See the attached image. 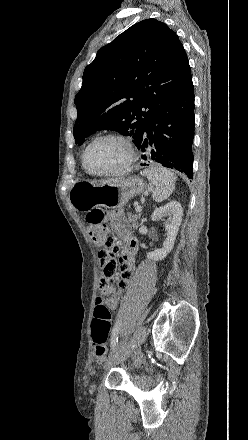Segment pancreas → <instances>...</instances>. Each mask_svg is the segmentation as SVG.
I'll return each instance as SVG.
<instances>
[{"instance_id":"1","label":"pancreas","mask_w":248,"mask_h":440,"mask_svg":"<svg viewBox=\"0 0 248 440\" xmlns=\"http://www.w3.org/2000/svg\"><path fill=\"white\" fill-rule=\"evenodd\" d=\"M128 219H129V222L132 223V226L134 228H138V226H139L138 220L140 219V213L139 212L135 213L134 215L129 214L128 215Z\"/></svg>"}]
</instances>
